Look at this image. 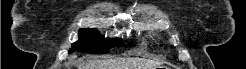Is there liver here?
Returning <instances> with one entry per match:
<instances>
[{"instance_id":"obj_1","label":"liver","mask_w":246,"mask_h":69,"mask_svg":"<svg viewBox=\"0 0 246 69\" xmlns=\"http://www.w3.org/2000/svg\"><path fill=\"white\" fill-rule=\"evenodd\" d=\"M159 66L156 61L131 58L127 61L106 59V60H90L80 64L78 69H153Z\"/></svg>"}]
</instances>
